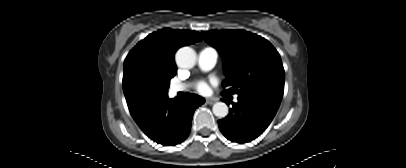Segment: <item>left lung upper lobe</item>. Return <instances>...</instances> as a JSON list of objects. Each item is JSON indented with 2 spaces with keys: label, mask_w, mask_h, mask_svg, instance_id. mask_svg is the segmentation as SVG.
Returning a JSON list of instances; mask_svg holds the SVG:
<instances>
[{
  "label": "left lung upper lobe",
  "mask_w": 406,
  "mask_h": 168,
  "mask_svg": "<svg viewBox=\"0 0 406 168\" xmlns=\"http://www.w3.org/2000/svg\"><path fill=\"white\" fill-rule=\"evenodd\" d=\"M203 34L224 60L226 90L222 95L236 93L238 97L261 95L282 99L285 72L279 53L269 41L244 30H213Z\"/></svg>",
  "instance_id": "5c2ea615"
}]
</instances>
